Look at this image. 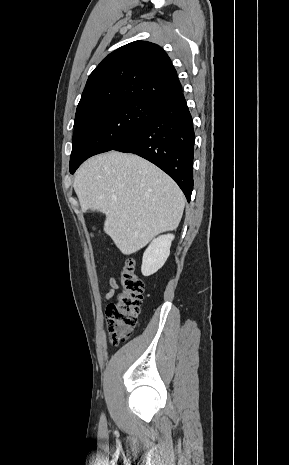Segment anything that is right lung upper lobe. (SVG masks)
<instances>
[{
	"label": "right lung upper lobe",
	"mask_w": 289,
	"mask_h": 465,
	"mask_svg": "<svg viewBox=\"0 0 289 465\" xmlns=\"http://www.w3.org/2000/svg\"><path fill=\"white\" fill-rule=\"evenodd\" d=\"M182 91L177 72L158 45L135 41L110 53L89 75L74 125L93 112L127 100H161Z\"/></svg>",
	"instance_id": "right-lung-upper-lobe-1"
}]
</instances>
